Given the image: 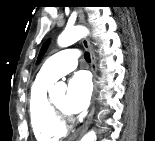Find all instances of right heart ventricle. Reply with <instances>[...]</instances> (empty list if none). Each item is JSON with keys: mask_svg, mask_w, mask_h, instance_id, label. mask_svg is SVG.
Instances as JSON below:
<instances>
[{"mask_svg": "<svg viewBox=\"0 0 155 141\" xmlns=\"http://www.w3.org/2000/svg\"><path fill=\"white\" fill-rule=\"evenodd\" d=\"M52 83L37 78L29 94L30 123L38 141H57L66 133V129L55 122L49 107L47 90Z\"/></svg>", "mask_w": 155, "mask_h": 141, "instance_id": "obj_1", "label": "right heart ventricle"}]
</instances>
